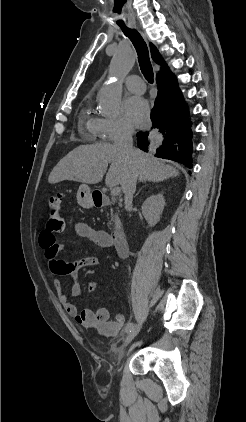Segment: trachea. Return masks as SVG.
Here are the masks:
<instances>
[{
    "instance_id": "trachea-1",
    "label": "trachea",
    "mask_w": 246,
    "mask_h": 422,
    "mask_svg": "<svg viewBox=\"0 0 246 422\" xmlns=\"http://www.w3.org/2000/svg\"><path fill=\"white\" fill-rule=\"evenodd\" d=\"M123 33L125 36H127L131 42L133 43L137 54H138V62L141 69V72L143 73L145 79L149 83H153L154 80V73L153 68L150 62L149 58V51L148 47L140 35L135 29H130L127 27H121Z\"/></svg>"
}]
</instances>
